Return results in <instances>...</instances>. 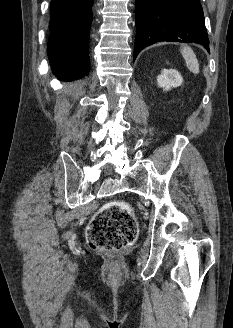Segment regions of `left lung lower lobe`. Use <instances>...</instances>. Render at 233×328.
Wrapping results in <instances>:
<instances>
[{
	"instance_id": "1",
	"label": "left lung lower lobe",
	"mask_w": 233,
	"mask_h": 328,
	"mask_svg": "<svg viewBox=\"0 0 233 328\" xmlns=\"http://www.w3.org/2000/svg\"><path fill=\"white\" fill-rule=\"evenodd\" d=\"M134 60L146 46L160 41L196 42L209 52L199 0H136Z\"/></svg>"
}]
</instances>
